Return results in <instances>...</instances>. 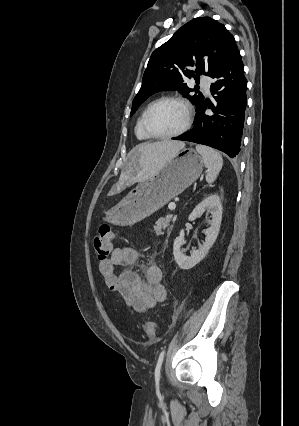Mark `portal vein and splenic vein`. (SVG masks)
I'll return each instance as SVG.
<instances>
[{
    "label": "portal vein and splenic vein",
    "mask_w": 299,
    "mask_h": 426,
    "mask_svg": "<svg viewBox=\"0 0 299 426\" xmlns=\"http://www.w3.org/2000/svg\"><path fill=\"white\" fill-rule=\"evenodd\" d=\"M168 207H169V209H170L171 211H174V210H175V208H176V204H175V202H171V203H169Z\"/></svg>",
    "instance_id": "18ae733b"
}]
</instances>
